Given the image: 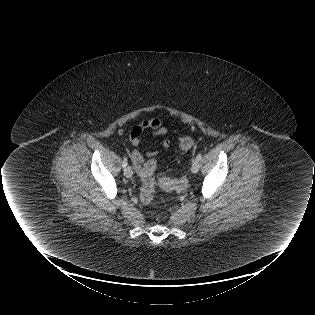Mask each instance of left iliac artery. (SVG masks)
Returning <instances> with one entry per match:
<instances>
[{"label": "left iliac artery", "instance_id": "left-iliac-artery-1", "mask_svg": "<svg viewBox=\"0 0 315 315\" xmlns=\"http://www.w3.org/2000/svg\"><path fill=\"white\" fill-rule=\"evenodd\" d=\"M201 158H202V154H198V155L196 156V160H197V161L201 160Z\"/></svg>", "mask_w": 315, "mask_h": 315}]
</instances>
